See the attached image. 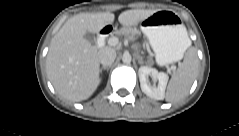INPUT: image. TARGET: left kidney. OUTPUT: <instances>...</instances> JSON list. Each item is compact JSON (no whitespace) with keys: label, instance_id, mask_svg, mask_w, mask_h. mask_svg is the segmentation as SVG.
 Segmentation results:
<instances>
[{"label":"left kidney","instance_id":"left-kidney-1","mask_svg":"<svg viewBox=\"0 0 239 136\" xmlns=\"http://www.w3.org/2000/svg\"><path fill=\"white\" fill-rule=\"evenodd\" d=\"M138 74L142 92H144L150 98L163 100L169 79L168 75L164 72H158L155 68L148 66H141L139 68ZM149 75H151L153 79L158 80V86H151L150 84H148Z\"/></svg>","mask_w":239,"mask_h":136}]
</instances>
